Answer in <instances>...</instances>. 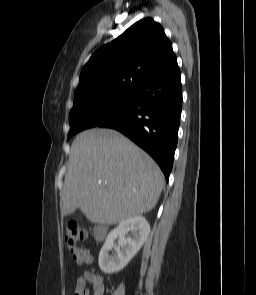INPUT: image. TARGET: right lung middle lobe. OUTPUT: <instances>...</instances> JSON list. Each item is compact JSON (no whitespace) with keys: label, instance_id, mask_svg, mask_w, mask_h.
<instances>
[{"label":"right lung middle lobe","instance_id":"1","mask_svg":"<svg viewBox=\"0 0 256 295\" xmlns=\"http://www.w3.org/2000/svg\"><path fill=\"white\" fill-rule=\"evenodd\" d=\"M134 101L135 92L90 101L75 100L69 115L68 139L77 132L87 129L88 119L113 118L130 108Z\"/></svg>","mask_w":256,"mask_h":295}]
</instances>
